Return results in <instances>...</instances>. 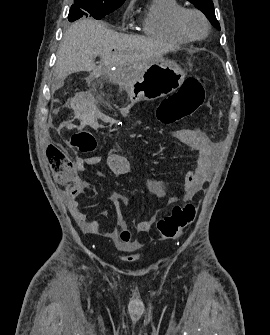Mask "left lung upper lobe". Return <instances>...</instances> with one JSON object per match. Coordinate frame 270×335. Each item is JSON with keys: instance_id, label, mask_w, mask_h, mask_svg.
I'll return each instance as SVG.
<instances>
[{"instance_id": "5c2ea615", "label": "left lung upper lobe", "mask_w": 270, "mask_h": 335, "mask_svg": "<svg viewBox=\"0 0 270 335\" xmlns=\"http://www.w3.org/2000/svg\"><path fill=\"white\" fill-rule=\"evenodd\" d=\"M193 3L199 10H201L211 24L220 30L219 22L216 19L215 12H214V5L211 0H188Z\"/></svg>"}]
</instances>
